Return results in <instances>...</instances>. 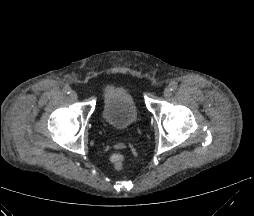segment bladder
<instances>
[{
    "mask_svg": "<svg viewBox=\"0 0 254 216\" xmlns=\"http://www.w3.org/2000/svg\"><path fill=\"white\" fill-rule=\"evenodd\" d=\"M103 119L116 131L130 129L137 119L132 91L124 85H110L103 92Z\"/></svg>",
    "mask_w": 254,
    "mask_h": 216,
    "instance_id": "31cf9c89",
    "label": "bladder"
}]
</instances>
